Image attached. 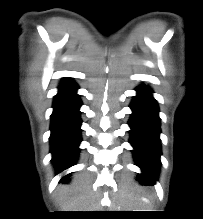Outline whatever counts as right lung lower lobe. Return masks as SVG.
I'll list each match as a JSON object with an SVG mask.
<instances>
[{"mask_svg": "<svg viewBox=\"0 0 203 219\" xmlns=\"http://www.w3.org/2000/svg\"><path fill=\"white\" fill-rule=\"evenodd\" d=\"M77 89L78 86L71 80H63L54 98L50 144L51 161L57 173L71 167L78 157L82 123L79 108L82 103Z\"/></svg>", "mask_w": 203, "mask_h": 219, "instance_id": "obj_1", "label": "right lung lower lobe"}]
</instances>
